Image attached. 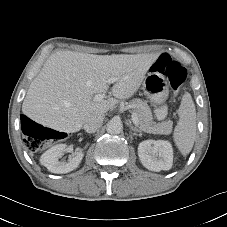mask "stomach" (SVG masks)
<instances>
[{
    "label": "stomach",
    "mask_w": 227,
    "mask_h": 227,
    "mask_svg": "<svg viewBox=\"0 0 227 227\" xmlns=\"http://www.w3.org/2000/svg\"><path fill=\"white\" fill-rule=\"evenodd\" d=\"M142 90L153 104H163L168 98L169 87L159 72H149L145 77Z\"/></svg>",
    "instance_id": "stomach-1"
}]
</instances>
